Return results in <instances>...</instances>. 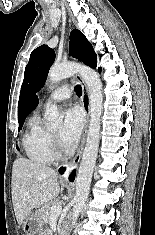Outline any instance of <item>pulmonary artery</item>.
Segmentation results:
<instances>
[{
  "mask_svg": "<svg viewBox=\"0 0 155 235\" xmlns=\"http://www.w3.org/2000/svg\"><path fill=\"white\" fill-rule=\"evenodd\" d=\"M72 90L68 85L61 86L54 90L46 100L47 104L61 102L71 97Z\"/></svg>",
  "mask_w": 155,
  "mask_h": 235,
  "instance_id": "e3ab8cb5",
  "label": "pulmonary artery"
}]
</instances>
